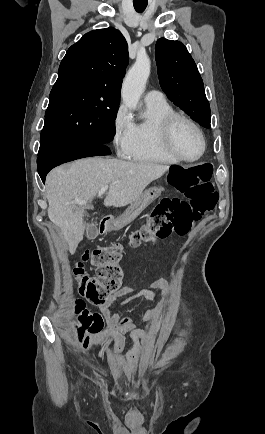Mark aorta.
<instances>
[{
  "label": "aorta",
  "mask_w": 265,
  "mask_h": 434,
  "mask_svg": "<svg viewBox=\"0 0 265 434\" xmlns=\"http://www.w3.org/2000/svg\"><path fill=\"white\" fill-rule=\"evenodd\" d=\"M151 62L148 56H137L135 64L128 70L122 84L123 104L136 108L140 96L145 92L146 82L150 76Z\"/></svg>",
  "instance_id": "aorta-1"
}]
</instances>
